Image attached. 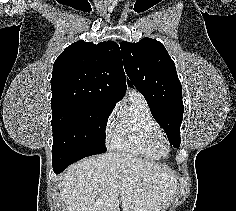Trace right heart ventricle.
I'll return each mask as SVG.
<instances>
[{
	"label": "right heart ventricle",
	"mask_w": 236,
	"mask_h": 211,
	"mask_svg": "<svg viewBox=\"0 0 236 211\" xmlns=\"http://www.w3.org/2000/svg\"><path fill=\"white\" fill-rule=\"evenodd\" d=\"M160 129L146 100L134 92L116 117L109 146L115 151L159 160L160 157L149 149L147 138L151 132Z\"/></svg>",
	"instance_id": "e07e8e85"
}]
</instances>
